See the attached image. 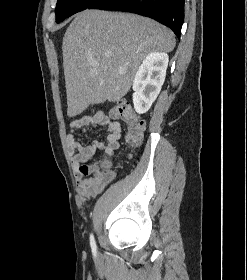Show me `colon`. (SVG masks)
Segmentation results:
<instances>
[{
  "mask_svg": "<svg viewBox=\"0 0 247 280\" xmlns=\"http://www.w3.org/2000/svg\"><path fill=\"white\" fill-rule=\"evenodd\" d=\"M114 115L125 121L127 125L126 140L129 145H138L142 140L144 121L132 112L128 103L119 102L114 107ZM84 171L98 179H107L110 177V163L108 160H100L89 166L84 167Z\"/></svg>",
  "mask_w": 247,
  "mask_h": 280,
  "instance_id": "obj_1",
  "label": "colon"
}]
</instances>
